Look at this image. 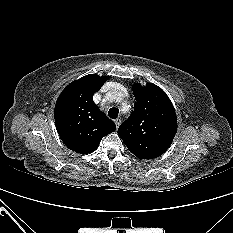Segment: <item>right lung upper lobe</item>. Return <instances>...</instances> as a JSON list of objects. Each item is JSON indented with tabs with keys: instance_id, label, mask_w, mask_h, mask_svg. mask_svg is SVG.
<instances>
[{
	"instance_id": "right-lung-upper-lobe-1",
	"label": "right lung upper lobe",
	"mask_w": 233,
	"mask_h": 233,
	"mask_svg": "<svg viewBox=\"0 0 233 233\" xmlns=\"http://www.w3.org/2000/svg\"><path fill=\"white\" fill-rule=\"evenodd\" d=\"M110 76L86 75L70 83L57 99L54 118L61 140L71 150L88 154L95 151L101 139L116 130L93 101Z\"/></svg>"
}]
</instances>
